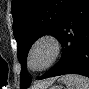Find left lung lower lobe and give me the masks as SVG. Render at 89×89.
<instances>
[{
    "label": "left lung lower lobe",
    "mask_w": 89,
    "mask_h": 89,
    "mask_svg": "<svg viewBox=\"0 0 89 89\" xmlns=\"http://www.w3.org/2000/svg\"><path fill=\"white\" fill-rule=\"evenodd\" d=\"M62 44L59 62L40 79L64 74L89 77V0H71L56 37Z\"/></svg>",
    "instance_id": "left-lung-lower-lobe-1"
}]
</instances>
